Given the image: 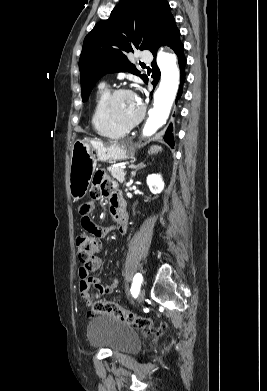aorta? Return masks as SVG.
<instances>
[{"instance_id":"1","label":"aorta","mask_w":267,"mask_h":391,"mask_svg":"<svg viewBox=\"0 0 267 391\" xmlns=\"http://www.w3.org/2000/svg\"><path fill=\"white\" fill-rule=\"evenodd\" d=\"M157 59L161 81L154 94L153 108L149 111V118L142 131L144 137L153 135L166 123L179 87L180 72L176 56L161 49Z\"/></svg>"}]
</instances>
